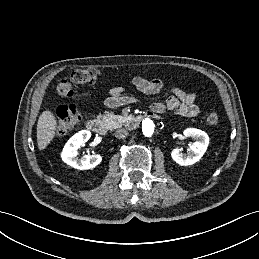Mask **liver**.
<instances>
[{
  "instance_id": "liver-1",
  "label": "liver",
  "mask_w": 259,
  "mask_h": 259,
  "mask_svg": "<svg viewBox=\"0 0 259 259\" xmlns=\"http://www.w3.org/2000/svg\"><path fill=\"white\" fill-rule=\"evenodd\" d=\"M57 129V120L54 114L45 110L39 116L37 123V145L38 149L44 150L54 139Z\"/></svg>"
}]
</instances>
